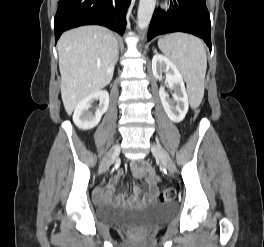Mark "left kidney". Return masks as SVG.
<instances>
[{
  "label": "left kidney",
  "mask_w": 264,
  "mask_h": 247,
  "mask_svg": "<svg viewBox=\"0 0 264 247\" xmlns=\"http://www.w3.org/2000/svg\"><path fill=\"white\" fill-rule=\"evenodd\" d=\"M152 72L155 78H159L165 72L166 81L173 90V100L164 87H160L159 96L163 108L172 122H181L189 108L188 94L185 89L183 78L173 62L166 56L156 54L152 59Z\"/></svg>",
  "instance_id": "obj_1"
}]
</instances>
